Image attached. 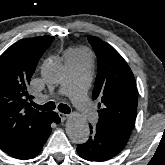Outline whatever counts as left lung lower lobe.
I'll use <instances>...</instances> for the list:
<instances>
[{
  "label": "left lung lower lobe",
  "instance_id": "obj_1",
  "mask_svg": "<svg viewBox=\"0 0 165 165\" xmlns=\"http://www.w3.org/2000/svg\"><path fill=\"white\" fill-rule=\"evenodd\" d=\"M90 127V137L84 144L77 145L79 156L88 161H106L118 155L128 139L120 137L100 126Z\"/></svg>",
  "mask_w": 165,
  "mask_h": 165
}]
</instances>
